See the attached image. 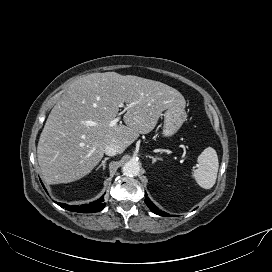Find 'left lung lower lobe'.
<instances>
[{"mask_svg":"<svg viewBox=\"0 0 272 272\" xmlns=\"http://www.w3.org/2000/svg\"><path fill=\"white\" fill-rule=\"evenodd\" d=\"M145 197H146L145 203L147 204V206L149 207V209H150L153 213H155V214H157V215H160V216H166V214H165L163 211L159 210V209L151 202V200H150L149 198H147V194H146V193H145Z\"/></svg>","mask_w":272,"mask_h":272,"instance_id":"1","label":"left lung lower lobe"}]
</instances>
